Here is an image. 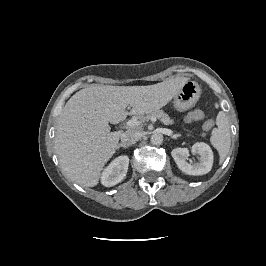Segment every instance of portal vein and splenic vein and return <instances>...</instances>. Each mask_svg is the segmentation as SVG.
<instances>
[{"label":"portal vein and splenic vein","instance_id":"obj_1","mask_svg":"<svg viewBox=\"0 0 266 266\" xmlns=\"http://www.w3.org/2000/svg\"><path fill=\"white\" fill-rule=\"evenodd\" d=\"M150 120H151L152 122H156V121H157V118H156V117H151ZM140 124H141V122L138 121V120H135V119L129 120V121L126 123V125H127L128 127H130V128H132V127H136V126H139Z\"/></svg>","mask_w":266,"mask_h":266}]
</instances>
